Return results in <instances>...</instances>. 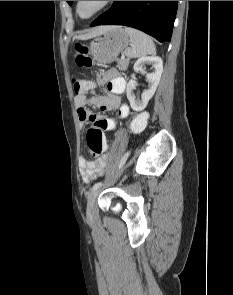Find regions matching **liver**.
<instances>
[{"mask_svg":"<svg viewBox=\"0 0 233 295\" xmlns=\"http://www.w3.org/2000/svg\"><path fill=\"white\" fill-rule=\"evenodd\" d=\"M107 29H108L107 26H100V27L94 29L92 32H90L88 34L77 36L75 38L76 39H81V40H86V39H89V38H92V37L103 34Z\"/></svg>","mask_w":233,"mask_h":295,"instance_id":"6515ba94","label":"liver"}]
</instances>
